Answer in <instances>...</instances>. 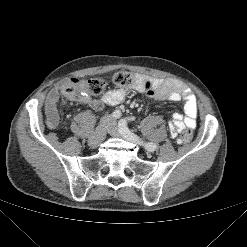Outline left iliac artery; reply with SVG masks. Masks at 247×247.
<instances>
[{
  "label": "left iliac artery",
  "instance_id": "left-iliac-artery-1",
  "mask_svg": "<svg viewBox=\"0 0 247 247\" xmlns=\"http://www.w3.org/2000/svg\"><path fill=\"white\" fill-rule=\"evenodd\" d=\"M118 128H119V131L122 133V134H125L127 136H130L132 138H135V139H139L140 140V145H143L145 147V149H147L148 151L150 152H153L156 150L157 146L156 144L152 143V142H149V143H143V141H141V139L135 135L134 133H132L128 126H127V122L125 119H122L119 121L118 123Z\"/></svg>",
  "mask_w": 247,
  "mask_h": 247
}]
</instances>
